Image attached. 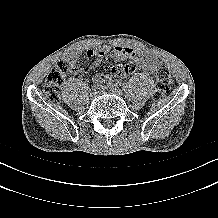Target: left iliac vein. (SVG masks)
<instances>
[{"instance_id":"obj_1","label":"left iliac vein","mask_w":218,"mask_h":218,"mask_svg":"<svg viewBox=\"0 0 218 218\" xmlns=\"http://www.w3.org/2000/svg\"><path fill=\"white\" fill-rule=\"evenodd\" d=\"M102 91L104 92H109V93H114V94H118L121 95V90L118 87H115L113 85H105L101 88Z\"/></svg>"}]
</instances>
